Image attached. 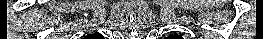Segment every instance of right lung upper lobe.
<instances>
[{"label": "right lung upper lobe", "instance_id": "cb5924a9", "mask_svg": "<svg viewBox=\"0 0 263 39\" xmlns=\"http://www.w3.org/2000/svg\"><path fill=\"white\" fill-rule=\"evenodd\" d=\"M99 35H100V34H92V35L86 37L85 39H100V38H98Z\"/></svg>", "mask_w": 263, "mask_h": 39}]
</instances>
